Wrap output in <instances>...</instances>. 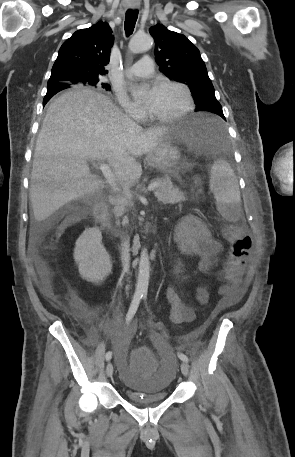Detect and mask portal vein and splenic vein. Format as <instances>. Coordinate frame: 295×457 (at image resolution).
I'll return each mask as SVG.
<instances>
[{"instance_id":"18ae733b","label":"portal vein and splenic vein","mask_w":295,"mask_h":457,"mask_svg":"<svg viewBox=\"0 0 295 457\" xmlns=\"http://www.w3.org/2000/svg\"><path fill=\"white\" fill-rule=\"evenodd\" d=\"M99 167H100V170L102 171L104 177L106 178L107 182L113 188V190L119 191V188H117V186L115 184L116 178H115L110 166L107 163L101 162V163H99ZM157 186H158V183L154 182V183H151L147 189L149 191H152V190H155Z\"/></svg>"}]
</instances>
